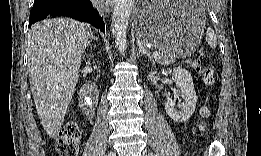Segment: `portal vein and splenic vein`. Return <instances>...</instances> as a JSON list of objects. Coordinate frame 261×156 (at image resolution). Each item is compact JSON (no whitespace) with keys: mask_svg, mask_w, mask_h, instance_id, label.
Returning <instances> with one entry per match:
<instances>
[{"mask_svg":"<svg viewBox=\"0 0 261 156\" xmlns=\"http://www.w3.org/2000/svg\"><path fill=\"white\" fill-rule=\"evenodd\" d=\"M160 55H161L160 51H155V52H153V54H152V56H153L154 59H158V58L160 57Z\"/></svg>","mask_w":261,"mask_h":156,"instance_id":"obj_1","label":"portal vein and splenic vein"}]
</instances>
